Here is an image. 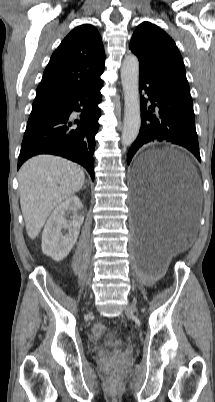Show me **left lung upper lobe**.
I'll return each mask as SVG.
<instances>
[{"label":"left lung upper lobe","instance_id":"1","mask_svg":"<svg viewBox=\"0 0 215 402\" xmlns=\"http://www.w3.org/2000/svg\"><path fill=\"white\" fill-rule=\"evenodd\" d=\"M129 48L138 57L140 73L152 76L192 101L182 56L166 32L155 24L143 22L134 31Z\"/></svg>","mask_w":215,"mask_h":402}]
</instances>
